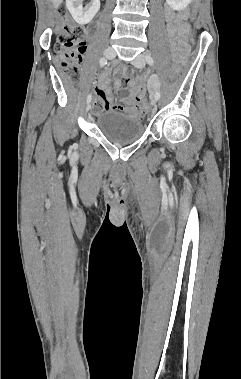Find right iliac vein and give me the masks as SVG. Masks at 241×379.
I'll list each match as a JSON object with an SVG mask.
<instances>
[{
  "label": "right iliac vein",
  "mask_w": 241,
  "mask_h": 379,
  "mask_svg": "<svg viewBox=\"0 0 241 379\" xmlns=\"http://www.w3.org/2000/svg\"><path fill=\"white\" fill-rule=\"evenodd\" d=\"M104 55L107 59H113L115 57V51L112 47H107L105 50H104ZM91 109V103L89 102L87 104V107H86V110L89 111Z\"/></svg>",
  "instance_id": "1"
}]
</instances>
